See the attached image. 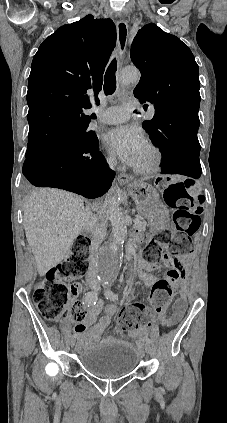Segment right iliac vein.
I'll use <instances>...</instances> for the list:
<instances>
[{
	"label": "right iliac vein",
	"mask_w": 227,
	"mask_h": 423,
	"mask_svg": "<svg viewBox=\"0 0 227 423\" xmlns=\"http://www.w3.org/2000/svg\"><path fill=\"white\" fill-rule=\"evenodd\" d=\"M69 345H70L71 347H73V346L75 345V339H74V338L70 339V341H69Z\"/></svg>",
	"instance_id": "1"
}]
</instances>
